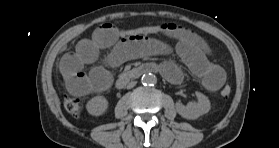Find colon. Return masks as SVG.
I'll use <instances>...</instances> for the list:
<instances>
[{"mask_svg": "<svg viewBox=\"0 0 279 148\" xmlns=\"http://www.w3.org/2000/svg\"><path fill=\"white\" fill-rule=\"evenodd\" d=\"M116 28L119 35L122 37L138 38V37L147 36L152 33H156L163 29H169L170 26L156 24V25H148V26H138V27H133L128 29L120 28L117 26ZM231 91L232 89L229 85L224 86L223 89L221 90V97L228 98L231 94ZM63 100H64L65 109L69 114L73 116H77L80 114L82 106H81V101L78 97L65 95Z\"/></svg>", "mask_w": 279, "mask_h": 148, "instance_id": "1", "label": "colon"}]
</instances>
